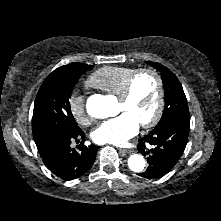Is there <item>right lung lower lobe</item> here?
Masks as SVG:
<instances>
[{"label": "right lung lower lobe", "instance_id": "obj_1", "mask_svg": "<svg viewBox=\"0 0 221 221\" xmlns=\"http://www.w3.org/2000/svg\"><path fill=\"white\" fill-rule=\"evenodd\" d=\"M73 139L85 141V134L80 129L75 133L52 132L34 138L45 166L67 181L80 177L92 167L98 149L83 142L77 150L73 149L70 147Z\"/></svg>", "mask_w": 221, "mask_h": 221}]
</instances>
